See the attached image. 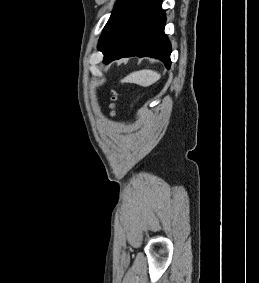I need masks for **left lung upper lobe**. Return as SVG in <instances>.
<instances>
[{
    "instance_id": "5c2ea615",
    "label": "left lung upper lobe",
    "mask_w": 259,
    "mask_h": 283,
    "mask_svg": "<svg viewBox=\"0 0 259 283\" xmlns=\"http://www.w3.org/2000/svg\"><path fill=\"white\" fill-rule=\"evenodd\" d=\"M124 0H118L117 1V3H116V5H115V7H114V10H113V12H112V14H111V16H110V19L113 17V15L115 14V12L117 11V9L119 8V6L122 4V2H123ZM109 19V20H110ZM109 22V21H108ZM107 22V23H108ZM107 25V24H106Z\"/></svg>"
}]
</instances>
